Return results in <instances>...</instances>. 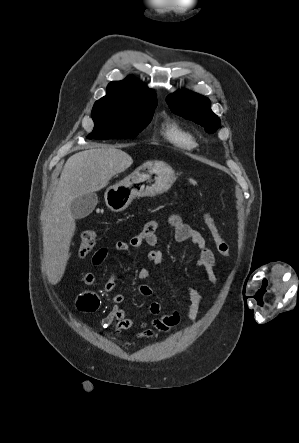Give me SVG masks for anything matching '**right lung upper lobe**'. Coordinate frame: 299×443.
<instances>
[{
	"label": "right lung upper lobe",
	"mask_w": 299,
	"mask_h": 443,
	"mask_svg": "<svg viewBox=\"0 0 299 443\" xmlns=\"http://www.w3.org/2000/svg\"><path fill=\"white\" fill-rule=\"evenodd\" d=\"M98 101H115L136 106L157 105L154 91L132 77L109 83L106 96Z\"/></svg>",
	"instance_id": "cb5924a9"
}]
</instances>
